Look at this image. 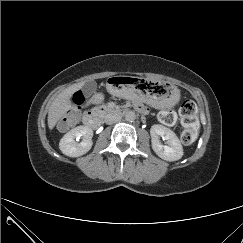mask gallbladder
<instances>
[{
    "label": "gallbladder",
    "mask_w": 243,
    "mask_h": 243,
    "mask_svg": "<svg viewBox=\"0 0 243 243\" xmlns=\"http://www.w3.org/2000/svg\"><path fill=\"white\" fill-rule=\"evenodd\" d=\"M97 84L95 81H88L83 86L84 94L89 97L96 90Z\"/></svg>",
    "instance_id": "bac80fb5"
}]
</instances>
